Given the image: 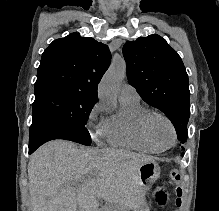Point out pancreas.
<instances>
[{
    "mask_svg": "<svg viewBox=\"0 0 219 211\" xmlns=\"http://www.w3.org/2000/svg\"><path fill=\"white\" fill-rule=\"evenodd\" d=\"M107 204H108V205H111L112 211H115L114 207H117V205H115V203H114L113 200H108V201H107ZM105 211H109V209H105Z\"/></svg>",
    "mask_w": 219,
    "mask_h": 211,
    "instance_id": "1",
    "label": "pancreas"
}]
</instances>
